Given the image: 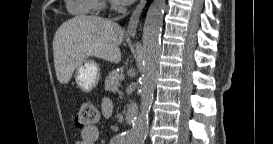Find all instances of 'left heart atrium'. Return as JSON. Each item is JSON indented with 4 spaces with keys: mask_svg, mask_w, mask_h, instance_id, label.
<instances>
[{
    "mask_svg": "<svg viewBox=\"0 0 273 144\" xmlns=\"http://www.w3.org/2000/svg\"><path fill=\"white\" fill-rule=\"evenodd\" d=\"M132 0H119L122 4H129Z\"/></svg>",
    "mask_w": 273,
    "mask_h": 144,
    "instance_id": "obj_1",
    "label": "left heart atrium"
}]
</instances>
